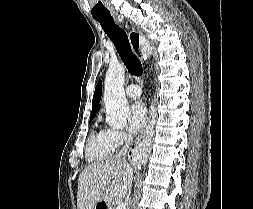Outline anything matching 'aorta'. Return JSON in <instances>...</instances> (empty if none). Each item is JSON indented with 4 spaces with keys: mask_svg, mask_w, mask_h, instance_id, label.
<instances>
[{
    "mask_svg": "<svg viewBox=\"0 0 253 209\" xmlns=\"http://www.w3.org/2000/svg\"><path fill=\"white\" fill-rule=\"evenodd\" d=\"M125 67L122 64H111L104 83V102L107 123L115 128H123L127 123L130 109L124 91Z\"/></svg>",
    "mask_w": 253,
    "mask_h": 209,
    "instance_id": "aorta-1",
    "label": "aorta"
}]
</instances>
